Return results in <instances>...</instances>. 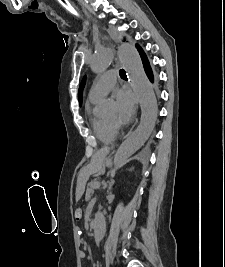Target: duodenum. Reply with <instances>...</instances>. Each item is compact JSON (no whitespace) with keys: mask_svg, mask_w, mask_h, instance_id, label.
Wrapping results in <instances>:
<instances>
[{"mask_svg":"<svg viewBox=\"0 0 225 267\" xmlns=\"http://www.w3.org/2000/svg\"><path fill=\"white\" fill-rule=\"evenodd\" d=\"M101 221L99 220V219H93L92 221H91V227L93 228V229H99L100 228V226H101Z\"/></svg>","mask_w":225,"mask_h":267,"instance_id":"obj_1","label":"duodenum"}]
</instances>
